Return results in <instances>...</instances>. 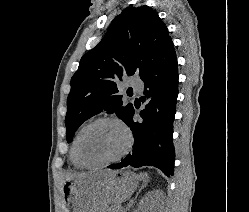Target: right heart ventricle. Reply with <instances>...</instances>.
Instances as JSON below:
<instances>
[{
	"label": "right heart ventricle",
	"instance_id": "obj_1",
	"mask_svg": "<svg viewBox=\"0 0 249 212\" xmlns=\"http://www.w3.org/2000/svg\"><path fill=\"white\" fill-rule=\"evenodd\" d=\"M84 126H82L81 128H79V130L76 132V134L73 137V140L70 144L69 147V153H68V158H69V162L70 165L74 168V169H82L83 167L77 162L76 158H75V153H74V146H75V141L80 133V131L83 129Z\"/></svg>",
	"mask_w": 249,
	"mask_h": 212
}]
</instances>
